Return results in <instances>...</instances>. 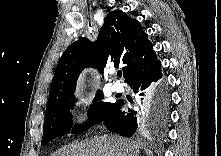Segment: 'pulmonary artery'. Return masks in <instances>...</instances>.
Returning a JSON list of instances; mask_svg holds the SVG:
<instances>
[{
    "instance_id": "obj_1",
    "label": "pulmonary artery",
    "mask_w": 221,
    "mask_h": 156,
    "mask_svg": "<svg viewBox=\"0 0 221 156\" xmlns=\"http://www.w3.org/2000/svg\"><path fill=\"white\" fill-rule=\"evenodd\" d=\"M112 89H113V91H116V92H122L124 88H123V85L121 83L115 82L112 85Z\"/></svg>"
}]
</instances>
